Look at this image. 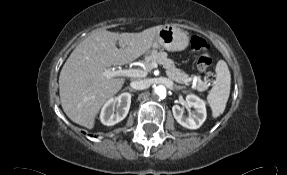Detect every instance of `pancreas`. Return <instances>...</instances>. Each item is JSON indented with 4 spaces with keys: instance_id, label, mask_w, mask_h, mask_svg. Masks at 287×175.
I'll return each mask as SVG.
<instances>
[{
    "instance_id": "cf45deb5",
    "label": "pancreas",
    "mask_w": 287,
    "mask_h": 175,
    "mask_svg": "<svg viewBox=\"0 0 287 175\" xmlns=\"http://www.w3.org/2000/svg\"><path fill=\"white\" fill-rule=\"evenodd\" d=\"M143 63L147 71L152 70L153 63L162 65L163 68L166 69V75L170 79L174 80L177 83L186 84V85L190 84L191 78L185 72L175 67L174 61L167 58L166 52L153 50L150 52L149 55L145 57ZM207 87H208V84L203 81L198 82L196 85H194V88L197 89L199 92L205 91Z\"/></svg>"
}]
</instances>
